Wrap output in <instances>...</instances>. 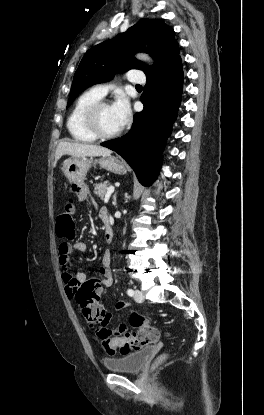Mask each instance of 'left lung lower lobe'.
<instances>
[{
    "label": "left lung lower lobe",
    "mask_w": 264,
    "mask_h": 415,
    "mask_svg": "<svg viewBox=\"0 0 264 415\" xmlns=\"http://www.w3.org/2000/svg\"><path fill=\"white\" fill-rule=\"evenodd\" d=\"M144 109L135 113L131 130L101 145L121 155L143 185H151L161 166V152L177 118L183 90L181 57L146 76Z\"/></svg>",
    "instance_id": "obj_1"
}]
</instances>
